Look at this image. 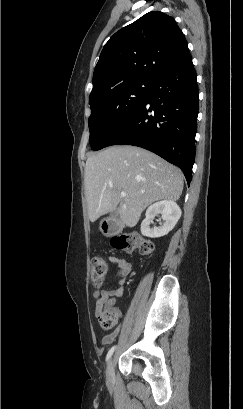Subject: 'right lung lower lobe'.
I'll list each match as a JSON object with an SVG mask.
<instances>
[{
  "label": "right lung lower lobe",
  "instance_id": "obj_1",
  "mask_svg": "<svg viewBox=\"0 0 243 409\" xmlns=\"http://www.w3.org/2000/svg\"><path fill=\"white\" fill-rule=\"evenodd\" d=\"M197 115V75L186 50L155 80L142 105L107 146L134 145L152 151L182 169L189 185Z\"/></svg>",
  "mask_w": 243,
  "mask_h": 409
}]
</instances>
